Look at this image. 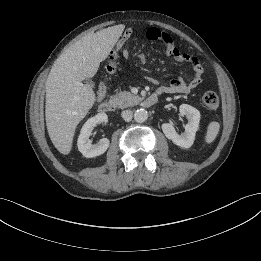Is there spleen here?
Here are the masks:
<instances>
[{
    "label": "spleen",
    "instance_id": "obj_1",
    "mask_svg": "<svg viewBox=\"0 0 261 261\" xmlns=\"http://www.w3.org/2000/svg\"><path fill=\"white\" fill-rule=\"evenodd\" d=\"M219 129H220V124L218 122L212 121L209 123L205 136V142L207 144H210L215 140V138L218 135Z\"/></svg>",
    "mask_w": 261,
    "mask_h": 261
}]
</instances>
